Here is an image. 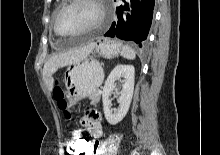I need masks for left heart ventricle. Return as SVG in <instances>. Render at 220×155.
I'll return each mask as SVG.
<instances>
[{"instance_id": "b2bd125f", "label": "left heart ventricle", "mask_w": 220, "mask_h": 155, "mask_svg": "<svg viewBox=\"0 0 220 155\" xmlns=\"http://www.w3.org/2000/svg\"><path fill=\"white\" fill-rule=\"evenodd\" d=\"M98 17V10L94 4L83 1L72 5L64 10L57 21V30L62 35L78 32Z\"/></svg>"}]
</instances>
